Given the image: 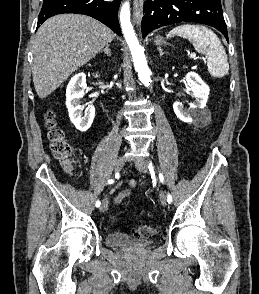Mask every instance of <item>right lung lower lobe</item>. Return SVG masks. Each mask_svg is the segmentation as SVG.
<instances>
[{
	"label": "right lung lower lobe",
	"instance_id": "1",
	"mask_svg": "<svg viewBox=\"0 0 259 294\" xmlns=\"http://www.w3.org/2000/svg\"><path fill=\"white\" fill-rule=\"evenodd\" d=\"M120 2L114 0H44L39 13L37 27L51 16L61 13L86 14L101 21L116 34L120 33L117 12Z\"/></svg>",
	"mask_w": 259,
	"mask_h": 294
}]
</instances>
